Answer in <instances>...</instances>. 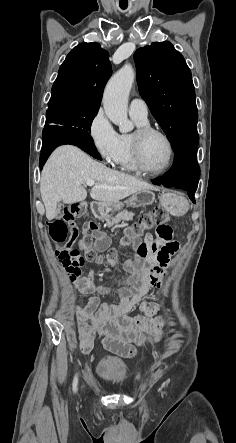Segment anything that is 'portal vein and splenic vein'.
I'll return each instance as SVG.
<instances>
[{"label":"portal vein and splenic vein","mask_w":236,"mask_h":443,"mask_svg":"<svg viewBox=\"0 0 236 443\" xmlns=\"http://www.w3.org/2000/svg\"><path fill=\"white\" fill-rule=\"evenodd\" d=\"M86 185H87V186H90V187L94 186V187H96V188H104V189L107 188L106 186L95 185V181H94V180H88V181H86Z\"/></svg>","instance_id":"1"}]
</instances>
